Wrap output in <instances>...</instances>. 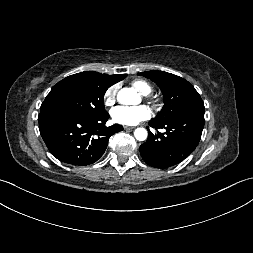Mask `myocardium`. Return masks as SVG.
<instances>
[{
    "label": "myocardium",
    "mask_w": 253,
    "mask_h": 253,
    "mask_svg": "<svg viewBox=\"0 0 253 253\" xmlns=\"http://www.w3.org/2000/svg\"><path fill=\"white\" fill-rule=\"evenodd\" d=\"M152 102H153L154 104H156V103H157V99H156V98H152Z\"/></svg>",
    "instance_id": "f54148a6"
}]
</instances>
